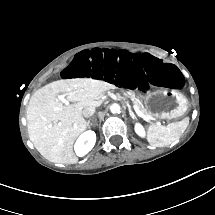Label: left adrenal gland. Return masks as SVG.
Instances as JSON below:
<instances>
[{
  "instance_id": "1",
  "label": "left adrenal gland",
  "mask_w": 215,
  "mask_h": 215,
  "mask_svg": "<svg viewBox=\"0 0 215 215\" xmlns=\"http://www.w3.org/2000/svg\"><path fill=\"white\" fill-rule=\"evenodd\" d=\"M129 115H130V117H131L132 119L137 120L136 115L132 112V110H131V109H129Z\"/></svg>"
}]
</instances>
